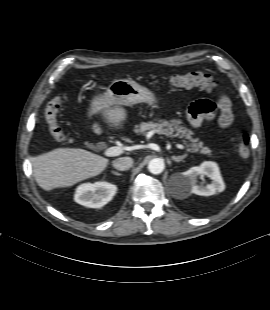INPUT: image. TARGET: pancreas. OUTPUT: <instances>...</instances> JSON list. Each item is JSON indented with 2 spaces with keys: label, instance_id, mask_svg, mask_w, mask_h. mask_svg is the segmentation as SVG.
<instances>
[{
  "label": "pancreas",
  "instance_id": "1",
  "mask_svg": "<svg viewBox=\"0 0 270 310\" xmlns=\"http://www.w3.org/2000/svg\"><path fill=\"white\" fill-rule=\"evenodd\" d=\"M180 124V120L141 123L139 126H136L134 131L137 134H146L148 131L154 130L168 137L183 138L187 140H183V142L186 144L188 151L210 156L212 151L204 146V143L199 141V138H193V132L191 130Z\"/></svg>",
  "mask_w": 270,
  "mask_h": 310
}]
</instances>
